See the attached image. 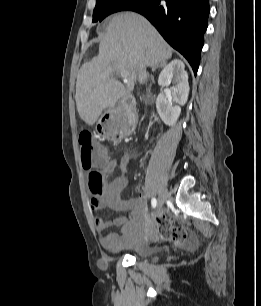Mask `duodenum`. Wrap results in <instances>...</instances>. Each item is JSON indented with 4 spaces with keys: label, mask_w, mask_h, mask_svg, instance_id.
Here are the masks:
<instances>
[{
    "label": "duodenum",
    "mask_w": 261,
    "mask_h": 306,
    "mask_svg": "<svg viewBox=\"0 0 261 306\" xmlns=\"http://www.w3.org/2000/svg\"><path fill=\"white\" fill-rule=\"evenodd\" d=\"M123 106H124V109H129L133 106V101L131 98H125L123 100Z\"/></svg>",
    "instance_id": "410a0bca"
}]
</instances>
